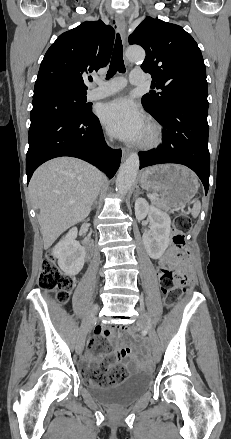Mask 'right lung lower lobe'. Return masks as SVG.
<instances>
[{
    "mask_svg": "<svg viewBox=\"0 0 231 439\" xmlns=\"http://www.w3.org/2000/svg\"><path fill=\"white\" fill-rule=\"evenodd\" d=\"M121 154L120 149L107 146L99 119L93 113L49 119L29 128L27 182L38 166L60 156L85 160L112 178L119 168Z\"/></svg>",
    "mask_w": 231,
    "mask_h": 439,
    "instance_id": "obj_1",
    "label": "right lung lower lobe"
}]
</instances>
